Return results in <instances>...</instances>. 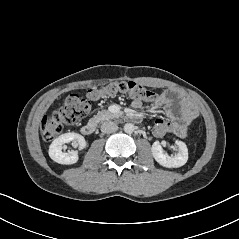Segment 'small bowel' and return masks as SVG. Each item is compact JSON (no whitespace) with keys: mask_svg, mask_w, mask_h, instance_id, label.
Masks as SVG:
<instances>
[{"mask_svg":"<svg viewBox=\"0 0 239 239\" xmlns=\"http://www.w3.org/2000/svg\"><path fill=\"white\" fill-rule=\"evenodd\" d=\"M132 105L136 109H141L144 103L139 99H134ZM153 105L162 108L168 116V133L181 138L187 135L188 125L197 116V110L194 105L175 91L167 90L163 92L157 97Z\"/></svg>","mask_w":239,"mask_h":239,"instance_id":"c3829d8e","label":"small bowel"}]
</instances>
